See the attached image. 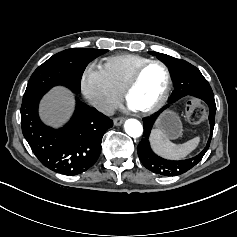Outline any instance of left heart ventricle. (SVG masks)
Masks as SVG:
<instances>
[{
  "instance_id": "b2bd125f",
  "label": "left heart ventricle",
  "mask_w": 237,
  "mask_h": 237,
  "mask_svg": "<svg viewBox=\"0 0 237 237\" xmlns=\"http://www.w3.org/2000/svg\"><path fill=\"white\" fill-rule=\"evenodd\" d=\"M166 85L164 69L157 64L150 65L145 69L141 78L132 90L128 105L131 109L145 110L153 106L162 96Z\"/></svg>"
}]
</instances>
